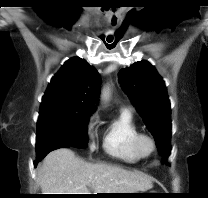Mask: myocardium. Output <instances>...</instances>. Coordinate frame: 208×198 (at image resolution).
Returning <instances> with one entry per match:
<instances>
[{
    "label": "myocardium",
    "mask_w": 208,
    "mask_h": 198,
    "mask_svg": "<svg viewBox=\"0 0 208 198\" xmlns=\"http://www.w3.org/2000/svg\"><path fill=\"white\" fill-rule=\"evenodd\" d=\"M145 143L149 144L148 150L144 148ZM134 147L141 158H147L154 153L156 149V144L154 139L150 135L145 133H139L134 140Z\"/></svg>",
    "instance_id": "1"
}]
</instances>
